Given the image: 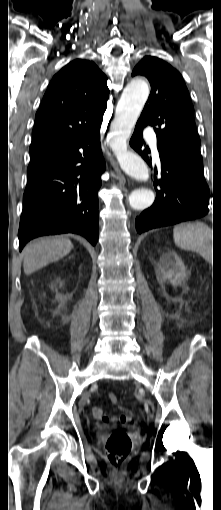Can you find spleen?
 Segmentation results:
<instances>
[{"label":"spleen","mask_w":221,"mask_h":510,"mask_svg":"<svg viewBox=\"0 0 221 510\" xmlns=\"http://www.w3.org/2000/svg\"><path fill=\"white\" fill-rule=\"evenodd\" d=\"M175 244L184 250L199 253L206 260L212 257V230L204 223H181L173 229Z\"/></svg>","instance_id":"1"}]
</instances>
